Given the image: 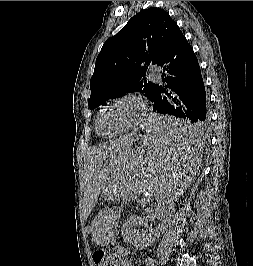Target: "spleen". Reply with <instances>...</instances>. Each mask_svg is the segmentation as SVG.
Masks as SVG:
<instances>
[{"label":"spleen","mask_w":253,"mask_h":266,"mask_svg":"<svg viewBox=\"0 0 253 266\" xmlns=\"http://www.w3.org/2000/svg\"><path fill=\"white\" fill-rule=\"evenodd\" d=\"M145 138L148 145L136 151L138 160H123V169H131L121 177L116 193L123 199H141L142 204H172L182 199L191 174L197 173L203 143L200 123H189V117H146ZM116 210L105 207L94 215L92 233L99 246H116Z\"/></svg>","instance_id":"3e777b00"}]
</instances>
